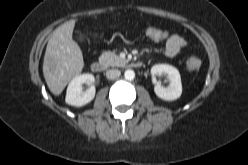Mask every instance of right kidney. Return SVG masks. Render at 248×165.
I'll use <instances>...</instances> for the list:
<instances>
[{"instance_id":"ca27d5eb","label":"right kidney","mask_w":248,"mask_h":165,"mask_svg":"<svg viewBox=\"0 0 248 165\" xmlns=\"http://www.w3.org/2000/svg\"><path fill=\"white\" fill-rule=\"evenodd\" d=\"M94 81V76L89 73L74 77L67 87L66 103L71 106L81 107L91 102L95 97V87L92 85ZM84 83L90 85V88L86 91H83L82 88Z\"/></svg>"}]
</instances>
